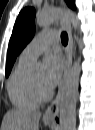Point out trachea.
Returning a JSON list of instances; mask_svg holds the SVG:
<instances>
[{"label":"trachea","instance_id":"3493384b","mask_svg":"<svg viewBox=\"0 0 95 130\" xmlns=\"http://www.w3.org/2000/svg\"><path fill=\"white\" fill-rule=\"evenodd\" d=\"M61 41L64 45H67L68 43V35L66 32L61 33Z\"/></svg>","mask_w":95,"mask_h":130}]
</instances>
